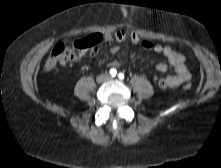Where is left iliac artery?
Returning <instances> with one entry per match:
<instances>
[{
    "mask_svg": "<svg viewBox=\"0 0 221 168\" xmlns=\"http://www.w3.org/2000/svg\"><path fill=\"white\" fill-rule=\"evenodd\" d=\"M124 77H125V76H124V74H123V73H119V74H118V78H119L120 80H123V79H124Z\"/></svg>",
    "mask_w": 221,
    "mask_h": 168,
    "instance_id": "left-iliac-artery-1",
    "label": "left iliac artery"
}]
</instances>
